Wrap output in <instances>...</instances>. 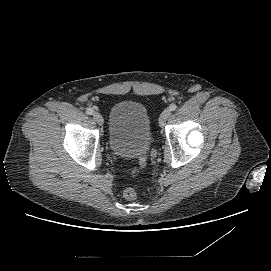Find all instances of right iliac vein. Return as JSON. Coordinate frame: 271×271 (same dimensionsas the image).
Instances as JSON below:
<instances>
[{"label":"right iliac vein","instance_id":"1","mask_svg":"<svg viewBox=\"0 0 271 271\" xmlns=\"http://www.w3.org/2000/svg\"><path fill=\"white\" fill-rule=\"evenodd\" d=\"M93 118L99 125H103L104 119L100 113L98 112L93 113Z\"/></svg>","mask_w":271,"mask_h":271}]
</instances>
